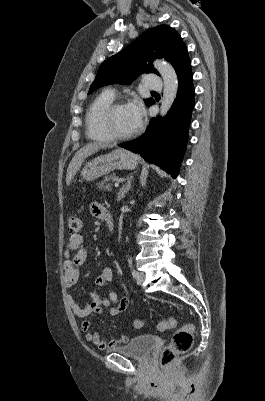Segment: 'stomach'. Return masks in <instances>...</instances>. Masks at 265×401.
<instances>
[{
	"label": "stomach",
	"mask_w": 265,
	"mask_h": 401,
	"mask_svg": "<svg viewBox=\"0 0 265 401\" xmlns=\"http://www.w3.org/2000/svg\"><path fill=\"white\" fill-rule=\"evenodd\" d=\"M138 164V156L132 154L129 150H122V148H115L108 154H100L95 156L89 162H86L84 168L81 170L83 180H95L102 174H108L111 170L119 168V170H133Z\"/></svg>",
	"instance_id": "0dacf381"
}]
</instances>
